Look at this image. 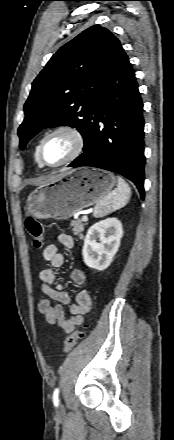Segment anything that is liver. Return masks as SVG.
<instances>
[{"label":"liver","instance_id":"obj_1","mask_svg":"<svg viewBox=\"0 0 174 440\" xmlns=\"http://www.w3.org/2000/svg\"><path fill=\"white\" fill-rule=\"evenodd\" d=\"M55 177H53V178H50V179H48V180H46V181H44V182H41L40 184H45L46 182H48V181H50V180H52V179H54Z\"/></svg>","mask_w":174,"mask_h":440}]
</instances>
